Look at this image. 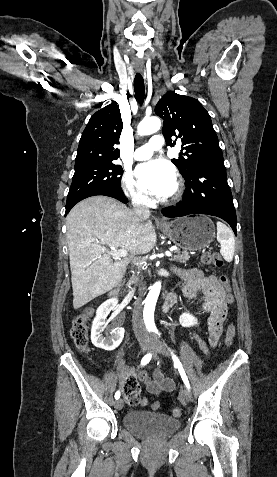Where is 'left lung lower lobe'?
I'll return each instance as SVG.
<instances>
[{"label":"left lung lower lobe","instance_id":"left-lung-lower-lobe-1","mask_svg":"<svg viewBox=\"0 0 277 477\" xmlns=\"http://www.w3.org/2000/svg\"><path fill=\"white\" fill-rule=\"evenodd\" d=\"M186 179L184 200L177 206L162 210L166 217L208 214L222 218L236 230V212L227 183L223 157L210 158L197 164Z\"/></svg>","mask_w":277,"mask_h":477}]
</instances>
